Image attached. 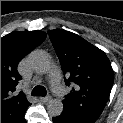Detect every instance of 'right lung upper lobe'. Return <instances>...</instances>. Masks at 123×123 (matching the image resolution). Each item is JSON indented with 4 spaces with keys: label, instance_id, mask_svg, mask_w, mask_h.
<instances>
[{
    "label": "right lung upper lobe",
    "instance_id": "right-lung-upper-lobe-1",
    "mask_svg": "<svg viewBox=\"0 0 123 123\" xmlns=\"http://www.w3.org/2000/svg\"><path fill=\"white\" fill-rule=\"evenodd\" d=\"M46 38V33L37 31H16L1 38V123H13L24 117L30 103L21 91L13 95L21 76L18 63Z\"/></svg>",
    "mask_w": 123,
    "mask_h": 123
}]
</instances>
